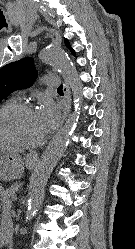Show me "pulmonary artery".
<instances>
[{"mask_svg": "<svg viewBox=\"0 0 135 249\" xmlns=\"http://www.w3.org/2000/svg\"><path fill=\"white\" fill-rule=\"evenodd\" d=\"M44 84L49 88H54L59 85V77L51 74L44 76Z\"/></svg>", "mask_w": 135, "mask_h": 249, "instance_id": "pulmonary-artery-1", "label": "pulmonary artery"}]
</instances>
